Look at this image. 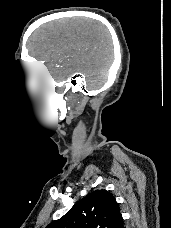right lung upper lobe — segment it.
<instances>
[{
	"mask_svg": "<svg viewBox=\"0 0 171 228\" xmlns=\"http://www.w3.org/2000/svg\"><path fill=\"white\" fill-rule=\"evenodd\" d=\"M46 228H123V218L113 195L96 190Z\"/></svg>",
	"mask_w": 171,
	"mask_h": 228,
	"instance_id": "obj_1",
	"label": "right lung upper lobe"
}]
</instances>
